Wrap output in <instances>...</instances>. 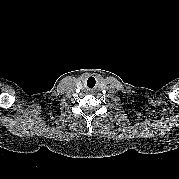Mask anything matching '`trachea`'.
<instances>
[{"mask_svg": "<svg viewBox=\"0 0 179 179\" xmlns=\"http://www.w3.org/2000/svg\"><path fill=\"white\" fill-rule=\"evenodd\" d=\"M86 86L88 88H94L96 86V78L94 76H89L86 81Z\"/></svg>", "mask_w": 179, "mask_h": 179, "instance_id": "1", "label": "trachea"}]
</instances>
